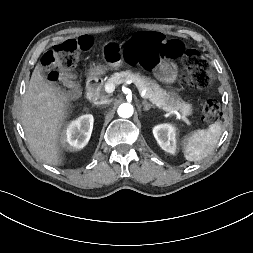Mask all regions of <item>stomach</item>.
I'll list each match as a JSON object with an SVG mask.
<instances>
[{"label": "stomach", "instance_id": "stomach-1", "mask_svg": "<svg viewBox=\"0 0 253 253\" xmlns=\"http://www.w3.org/2000/svg\"><path fill=\"white\" fill-rule=\"evenodd\" d=\"M102 58L104 64H97L91 69L94 76L104 74L108 69L119 70L123 66L121 44L118 41H108L102 46ZM155 77L163 83H173L177 78V66L170 62H162L154 71ZM168 104L171 111H180L185 102L177 93L168 95Z\"/></svg>", "mask_w": 253, "mask_h": 253}]
</instances>
